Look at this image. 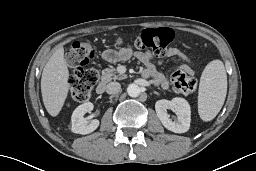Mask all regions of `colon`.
Wrapping results in <instances>:
<instances>
[{"label": "colon", "mask_w": 256, "mask_h": 171, "mask_svg": "<svg viewBox=\"0 0 256 171\" xmlns=\"http://www.w3.org/2000/svg\"><path fill=\"white\" fill-rule=\"evenodd\" d=\"M173 39L169 28H144L133 39L134 47L142 52L163 56ZM96 50L90 39L76 41L67 53V62L73 68L70 77V103H83L88 100L90 93L99 78V71L94 58ZM171 83L176 91L189 94L196 90L197 81L184 68L172 71Z\"/></svg>", "instance_id": "colon-1"}]
</instances>
